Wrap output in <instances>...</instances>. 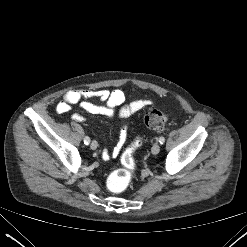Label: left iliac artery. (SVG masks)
Wrapping results in <instances>:
<instances>
[{
	"label": "left iliac artery",
	"mask_w": 247,
	"mask_h": 247,
	"mask_svg": "<svg viewBox=\"0 0 247 247\" xmlns=\"http://www.w3.org/2000/svg\"><path fill=\"white\" fill-rule=\"evenodd\" d=\"M159 142H160V144H163V143L165 142V138L161 136V137L159 138Z\"/></svg>",
	"instance_id": "left-iliac-artery-1"
}]
</instances>
